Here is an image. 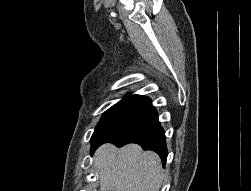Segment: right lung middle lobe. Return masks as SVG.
<instances>
[{"instance_id": "dd1d6c3e", "label": "right lung middle lobe", "mask_w": 251, "mask_h": 191, "mask_svg": "<svg viewBox=\"0 0 251 191\" xmlns=\"http://www.w3.org/2000/svg\"><path fill=\"white\" fill-rule=\"evenodd\" d=\"M142 112L143 110L139 109L115 106L108 109L103 114L91 137V154L98 146L119 133Z\"/></svg>"}]
</instances>
